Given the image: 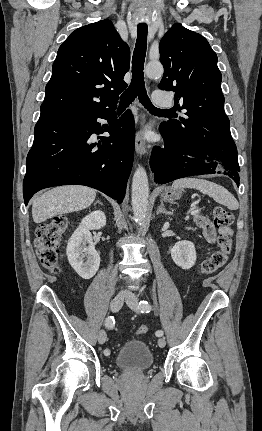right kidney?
I'll return each mask as SVG.
<instances>
[{"instance_id":"right-kidney-1","label":"right kidney","mask_w":262,"mask_h":431,"mask_svg":"<svg viewBox=\"0 0 262 431\" xmlns=\"http://www.w3.org/2000/svg\"><path fill=\"white\" fill-rule=\"evenodd\" d=\"M106 225L104 212L96 210L85 216L69 239L66 254L71 267L84 279L92 278L99 269L100 255L95 250L90 230Z\"/></svg>"}]
</instances>
